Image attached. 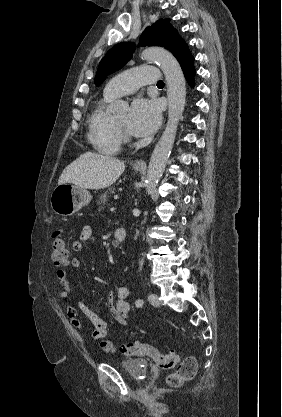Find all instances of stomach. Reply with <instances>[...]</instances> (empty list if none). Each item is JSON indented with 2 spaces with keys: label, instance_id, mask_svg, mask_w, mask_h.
I'll list each match as a JSON object with an SVG mask.
<instances>
[{
  "label": "stomach",
  "instance_id": "1",
  "mask_svg": "<svg viewBox=\"0 0 282 417\" xmlns=\"http://www.w3.org/2000/svg\"><path fill=\"white\" fill-rule=\"evenodd\" d=\"M140 170V168H136ZM92 200V196L89 190L81 188L77 184L72 182H63L55 186L51 192L50 204L51 209L56 215H62V217H70L75 215L77 211L82 209V206H86Z\"/></svg>",
  "mask_w": 282,
  "mask_h": 417
}]
</instances>
